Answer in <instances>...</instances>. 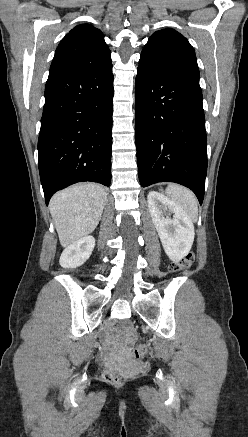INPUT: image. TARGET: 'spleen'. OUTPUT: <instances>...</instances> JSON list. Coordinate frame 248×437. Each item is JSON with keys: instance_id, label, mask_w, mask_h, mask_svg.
I'll use <instances>...</instances> for the list:
<instances>
[{"instance_id": "1", "label": "spleen", "mask_w": 248, "mask_h": 437, "mask_svg": "<svg viewBox=\"0 0 248 437\" xmlns=\"http://www.w3.org/2000/svg\"><path fill=\"white\" fill-rule=\"evenodd\" d=\"M166 194L188 214L192 221L197 220L198 201L191 190L177 184H170Z\"/></svg>"}]
</instances>
